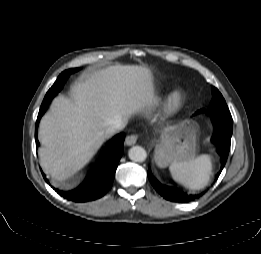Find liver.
Returning <instances> with one entry per match:
<instances>
[{
	"mask_svg": "<svg viewBox=\"0 0 261 254\" xmlns=\"http://www.w3.org/2000/svg\"><path fill=\"white\" fill-rule=\"evenodd\" d=\"M153 97L152 74L144 66H111L76 82L71 98L58 96L40 122L42 168L59 182L73 176L100 148L114 121L127 123L151 106Z\"/></svg>",
	"mask_w": 261,
	"mask_h": 254,
	"instance_id": "obj_1",
	"label": "liver"
}]
</instances>
